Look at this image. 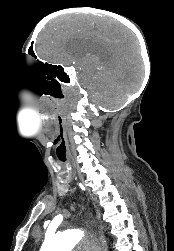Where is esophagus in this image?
<instances>
[{
	"label": "esophagus",
	"mask_w": 174,
	"mask_h": 251,
	"mask_svg": "<svg viewBox=\"0 0 174 251\" xmlns=\"http://www.w3.org/2000/svg\"><path fill=\"white\" fill-rule=\"evenodd\" d=\"M92 235H93V234H91V237H93ZM96 251H99L98 246H96Z\"/></svg>",
	"instance_id": "34e87169"
}]
</instances>
